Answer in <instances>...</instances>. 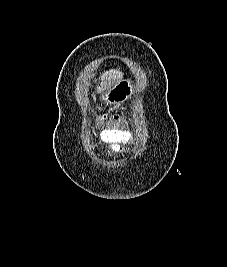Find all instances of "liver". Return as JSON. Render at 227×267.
<instances>
[{
	"instance_id": "obj_1",
	"label": "liver",
	"mask_w": 227,
	"mask_h": 267,
	"mask_svg": "<svg viewBox=\"0 0 227 267\" xmlns=\"http://www.w3.org/2000/svg\"><path fill=\"white\" fill-rule=\"evenodd\" d=\"M123 76V73L119 70H109L104 72L101 76L100 86L97 88V91H104L106 88L111 87L116 82H118Z\"/></svg>"
}]
</instances>
